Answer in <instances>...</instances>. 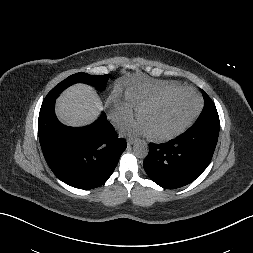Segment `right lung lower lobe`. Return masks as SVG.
Here are the masks:
<instances>
[{"instance_id": "obj_1", "label": "right lung lower lobe", "mask_w": 253, "mask_h": 253, "mask_svg": "<svg viewBox=\"0 0 253 253\" xmlns=\"http://www.w3.org/2000/svg\"><path fill=\"white\" fill-rule=\"evenodd\" d=\"M58 94L46 96L38 119V134L45 160L64 183L80 189L104 184L113 173L127 143L108 122L105 113L93 124L73 128L55 116Z\"/></svg>"}]
</instances>
